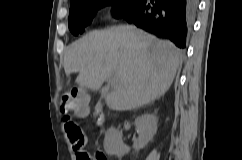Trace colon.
I'll list each match as a JSON object with an SVG mask.
<instances>
[{
    "label": "colon",
    "instance_id": "5ec220e1",
    "mask_svg": "<svg viewBox=\"0 0 242 160\" xmlns=\"http://www.w3.org/2000/svg\"><path fill=\"white\" fill-rule=\"evenodd\" d=\"M61 111L65 114L84 112L88 108L87 96L84 92L78 90H69L62 95ZM64 127L72 143L81 148L85 143V135L82 128L74 122L69 116L64 118ZM81 160H108L104 154L95 153L91 155L84 152L80 155Z\"/></svg>",
    "mask_w": 242,
    "mask_h": 160
}]
</instances>
